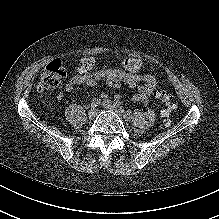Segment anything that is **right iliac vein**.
Here are the masks:
<instances>
[{
    "label": "right iliac vein",
    "mask_w": 219,
    "mask_h": 219,
    "mask_svg": "<svg viewBox=\"0 0 219 219\" xmlns=\"http://www.w3.org/2000/svg\"><path fill=\"white\" fill-rule=\"evenodd\" d=\"M90 118H94L97 115V110L95 108H91L88 112Z\"/></svg>",
    "instance_id": "obj_1"
}]
</instances>
